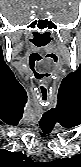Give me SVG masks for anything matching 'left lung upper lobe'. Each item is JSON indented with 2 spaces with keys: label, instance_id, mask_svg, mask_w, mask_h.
<instances>
[{
  "label": "left lung upper lobe",
  "instance_id": "1",
  "mask_svg": "<svg viewBox=\"0 0 81 167\" xmlns=\"http://www.w3.org/2000/svg\"><path fill=\"white\" fill-rule=\"evenodd\" d=\"M80 160V156H73L71 158H62L58 160H54L53 162L49 163L48 166L50 167H75L77 166Z\"/></svg>",
  "mask_w": 81,
  "mask_h": 167
}]
</instances>
